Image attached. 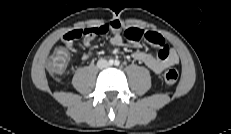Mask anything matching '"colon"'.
<instances>
[{
  "label": "colon",
  "mask_w": 231,
  "mask_h": 134,
  "mask_svg": "<svg viewBox=\"0 0 231 134\" xmlns=\"http://www.w3.org/2000/svg\"><path fill=\"white\" fill-rule=\"evenodd\" d=\"M69 54L65 48H57L47 61V70L54 75L62 74L68 64ZM164 82L167 85H174L178 80V72L173 69H167L163 74Z\"/></svg>",
  "instance_id": "colon-1"
}]
</instances>
